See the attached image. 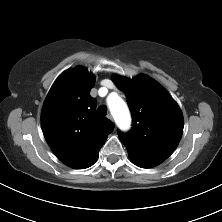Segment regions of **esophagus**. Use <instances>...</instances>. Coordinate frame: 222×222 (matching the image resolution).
<instances>
[{
	"label": "esophagus",
	"instance_id": "34e87169",
	"mask_svg": "<svg viewBox=\"0 0 222 222\" xmlns=\"http://www.w3.org/2000/svg\"><path fill=\"white\" fill-rule=\"evenodd\" d=\"M106 117H107L109 120L113 121V117H112L111 114H108Z\"/></svg>",
	"mask_w": 222,
	"mask_h": 222
}]
</instances>
